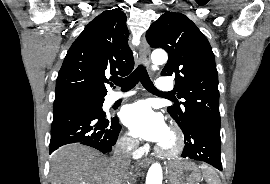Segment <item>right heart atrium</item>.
Listing matches in <instances>:
<instances>
[{
    "label": "right heart atrium",
    "mask_w": 270,
    "mask_h": 184,
    "mask_svg": "<svg viewBox=\"0 0 270 184\" xmlns=\"http://www.w3.org/2000/svg\"><path fill=\"white\" fill-rule=\"evenodd\" d=\"M121 145L126 149V150H133L136 146V141L129 135H124L121 140Z\"/></svg>",
    "instance_id": "d8ad5b80"
}]
</instances>
